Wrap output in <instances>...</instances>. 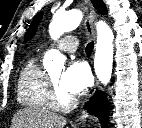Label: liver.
<instances>
[{
    "label": "liver",
    "instance_id": "liver-1",
    "mask_svg": "<svg viewBox=\"0 0 142 128\" xmlns=\"http://www.w3.org/2000/svg\"><path fill=\"white\" fill-rule=\"evenodd\" d=\"M65 117L46 109L24 108L13 117L11 128H64Z\"/></svg>",
    "mask_w": 142,
    "mask_h": 128
}]
</instances>
